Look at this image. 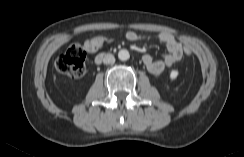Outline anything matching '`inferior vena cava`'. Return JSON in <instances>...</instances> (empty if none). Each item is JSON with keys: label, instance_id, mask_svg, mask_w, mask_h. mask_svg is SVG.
<instances>
[{"label": "inferior vena cava", "instance_id": "602c4592", "mask_svg": "<svg viewBox=\"0 0 244 157\" xmlns=\"http://www.w3.org/2000/svg\"><path fill=\"white\" fill-rule=\"evenodd\" d=\"M114 62H115V57L112 54H106L103 57V63L104 64H111V63H114Z\"/></svg>", "mask_w": 244, "mask_h": 157}]
</instances>
